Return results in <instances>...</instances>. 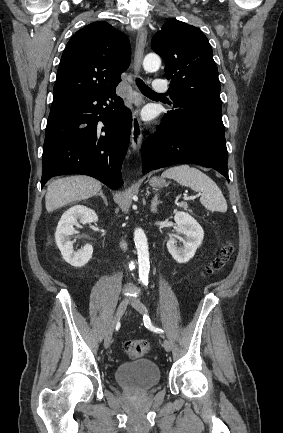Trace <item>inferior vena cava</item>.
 I'll return each mask as SVG.
<instances>
[{
  "mask_svg": "<svg viewBox=\"0 0 283 433\" xmlns=\"http://www.w3.org/2000/svg\"><path fill=\"white\" fill-rule=\"evenodd\" d=\"M120 247L123 249V251H127V243H125V241H121Z\"/></svg>",
  "mask_w": 283,
  "mask_h": 433,
  "instance_id": "obj_1",
  "label": "inferior vena cava"
}]
</instances>
